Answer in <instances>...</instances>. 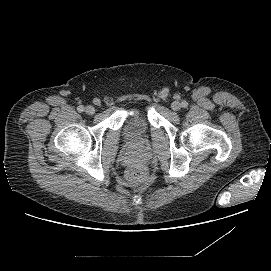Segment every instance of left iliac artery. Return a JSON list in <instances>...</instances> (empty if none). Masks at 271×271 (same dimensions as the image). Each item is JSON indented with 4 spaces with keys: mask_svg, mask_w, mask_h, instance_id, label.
I'll list each match as a JSON object with an SVG mask.
<instances>
[{
    "mask_svg": "<svg viewBox=\"0 0 271 271\" xmlns=\"http://www.w3.org/2000/svg\"><path fill=\"white\" fill-rule=\"evenodd\" d=\"M181 106L185 108L188 106V103L186 101H182Z\"/></svg>",
    "mask_w": 271,
    "mask_h": 271,
    "instance_id": "1",
    "label": "left iliac artery"
}]
</instances>
